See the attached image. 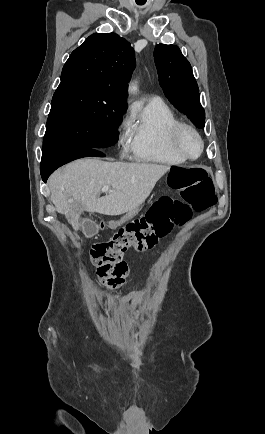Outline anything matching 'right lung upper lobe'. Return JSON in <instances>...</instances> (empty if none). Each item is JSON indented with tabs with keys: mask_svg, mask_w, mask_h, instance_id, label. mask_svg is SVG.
Listing matches in <instances>:
<instances>
[{
	"mask_svg": "<svg viewBox=\"0 0 265 434\" xmlns=\"http://www.w3.org/2000/svg\"><path fill=\"white\" fill-rule=\"evenodd\" d=\"M135 66L129 42L115 33H95L71 53L60 84L89 83L126 99L127 83Z\"/></svg>",
	"mask_w": 265,
	"mask_h": 434,
	"instance_id": "right-lung-upper-lobe-1",
	"label": "right lung upper lobe"
}]
</instances>
